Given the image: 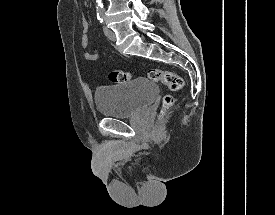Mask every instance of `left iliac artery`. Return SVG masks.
I'll return each instance as SVG.
<instances>
[{"mask_svg": "<svg viewBox=\"0 0 275 215\" xmlns=\"http://www.w3.org/2000/svg\"><path fill=\"white\" fill-rule=\"evenodd\" d=\"M97 18L100 21V23H103V21H104V9H103V6L97 7Z\"/></svg>", "mask_w": 275, "mask_h": 215, "instance_id": "1", "label": "left iliac artery"}]
</instances>
